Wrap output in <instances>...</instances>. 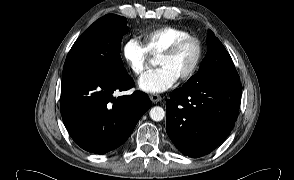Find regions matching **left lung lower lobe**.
<instances>
[{
  "mask_svg": "<svg viewBox=\"0 0 294 180\" xmlns=\"http://www.w3.org/2000/svg\"><path fill=\"white\" fill-rule=\"evenodd\" d=\"M240 82L175 89L166 101V131L186 156L212 152L230 134L241 102Z\"/></svg>",
  "mask_w": 294,
  "mask_h": 180,
  "instance_id": "left-lung-lower-lobe-1",
  "label": "left lung lower lobe"
}]
</instances>
